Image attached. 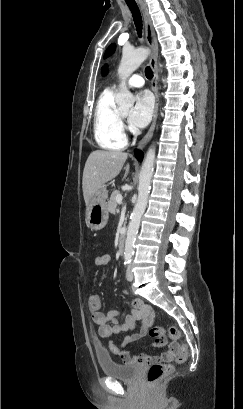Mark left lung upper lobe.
<instances>
[{
    "label": "left lung upper lobe",
    "instance_id": "left-lung-upper-lobe-1",
    "mask_svg": "<svg viewBox=\"0 0 243 409\" xmlns=\"http://www.w3.org/2000/svg\"><path fill=\"white\" fill-rule=\"evenodd\" d=\"M114 50H115V44H111V45L107 48L104 57L106 58V57L110 56V55L114 52Z\"/></svg>",
    "mask_w": 243,
    "mask_h": 409
}]
</instances>
